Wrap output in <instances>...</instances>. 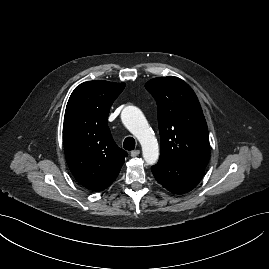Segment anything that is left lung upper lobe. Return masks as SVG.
Wrapping results in <instances>:
<instances>
[{
	"mask_svg": "<svg viewBox=\"0 0 269 269\" xmlns=\"http://www.w3.org/2000/svg\"><path fill=\"white\" fill-rule=\"evenodd\" d=\"M145 88L155 98L160 158L205 168L210 157L207 124L194 91L177 77H158Z\"/></svg>",
	"mask_w": 269,
	"mask_h": 269,
	"instance_id": "obj_1",
	"label": "left lung upper lobe"
}]
</instances>
